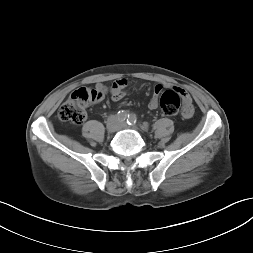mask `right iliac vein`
Listing matches in <instances>:
<instances>
[{"mask_svg":"<svg viewBox=\"0 0 253 253\" xmlns=\"http://www.w3.org/2000/svg\"><path fill=\"white\" fill-rule=\"evenodd\" d=\"M106 129L109 133H113L117 130V120L115 117H111L106 124Z\"/></svg>","mask_w":253,"mask_h":253,"instance_id":"obj_1","label":"right iliac vein"}]
</instances>
